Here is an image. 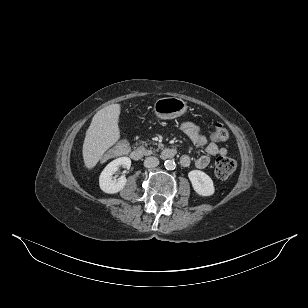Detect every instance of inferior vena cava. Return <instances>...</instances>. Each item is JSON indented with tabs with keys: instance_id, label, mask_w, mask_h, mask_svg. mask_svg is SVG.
<instances>
[{
	"instance_id": "inferior-vena-cava-1",
	"label": "inferior vena cava",
	"mask_w": 308,
	"mask_h": 308,
	"mask_svg": "<svg viewBox=\"0 0 308 308\" xmlns=\"http://www.w3.org/2000/svg\"><path fill=\"white\" fill-rule=\"evenodd\" d=\"M158 165H159V159L157 157L150 156L144 160V166L146 168H152Z\"/></svg>"
}]
</instances>
